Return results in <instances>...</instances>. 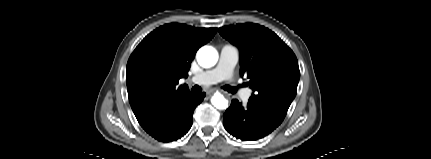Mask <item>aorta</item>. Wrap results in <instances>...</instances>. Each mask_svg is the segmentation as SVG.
<instances>
[{"label":"aorta","mask_w":431,"mask_h":159,"mask_svg":"<svg viewBox=\"0 0 431 159\" xmlns=\"http://www.w3.org/2000/svg\"><path fill=\"white\" fill-rule=\"evenodd\" d=\"M196 58L200 66L209 68L217 63L218 52L212 46H203L198 50ZM211 103L220 110H224L228 107V100L218 92L212 96Z\"/></svg>","instance_id":"obj_1"}]
</instances>
